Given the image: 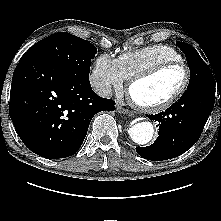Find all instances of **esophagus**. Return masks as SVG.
Instances as JSON below:
<instances>
[{"mask_svg":"<svg viewBox=\"0 0 221 221\" xmlns=\"http://www.w3.org/2000/svg\"><path fill=\"white\" fill-rule=\"evenodd\" d=\"M116 111L122 114H132L129 110L123 108L120 104H117Z\"/></svg>","mask_w":221,"mask_h":221,"instance_id":"esophagus-1","label":"esophagus"}]
</instances>
